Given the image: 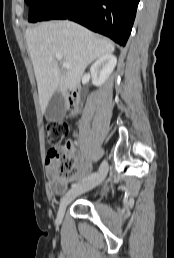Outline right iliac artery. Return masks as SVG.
<instances>
[{"instance_id":"right-iliac-artery-1","label":"right iliac artery","mask_w":174,"mask_h":258,"mask_svg":"<svg viewBox=\"0 0 174 258\" xmlns=\"http://www.w3.org/2000/svg\"><path fill=\"white\" fill-rule=\"evenodd\" d=\"M96 176H97V173H96V172H95V173H91L90 175H88L87 177H85L84 179H82L81 182H85V181H87V180H91V179L95 178Z\"/></svg>"}]
</instances>
